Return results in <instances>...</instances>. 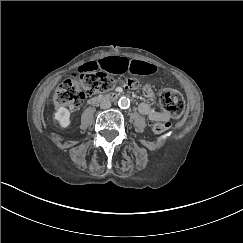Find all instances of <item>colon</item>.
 <instances>
[{"label":"colon","instance_id":"1","mask_svg":"<svg viewBox=\"0 0 243 243\" xmlns=\"http://www.w3.org/2000/svg\"><path fill=\"white\" fill-rule=\"evenodd\" d=\"M126 88L136 89L139 82L136 79H128L124 83ZM114 87V81L104 73L84 72L63 81L56 89L53 101L57 107L78 108L86 95L106 94ZM160 103L172 117H180L185 108L182 95L175 89H164L160 95ZM167 121H157L152 125L156 134H162L170 128Z\"/></svg>","mask_w":243,"mask_h":243}]
</instances>
